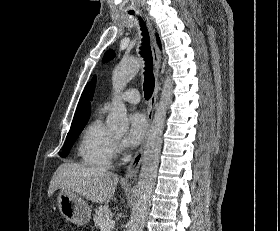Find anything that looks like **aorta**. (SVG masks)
Returning <instances> with one entry per match:
<instances>
[{"instance_id": "1", "label": "aorta", "mask_w": 280, "mask_h": 231, "mask_svg": "<svg viewBox=\"0 0 280 231\" xmlns=\"http://www.w3.org/2000/svg\"><path fill=\"white\" fill-rule=\"evenodd\" d=\"M141 66L142 60H127V62H120L113 70L112 88L114 92V104L109 116L106 117V123L115 133H126L129 129L126 106L119 100L118 96L123 92L126 84L138 74ZM172 94L173 82L170 76H167L163 84L160 102L147 137L135 201L128 223L129 231H143L145 217L152 201L160 161L163 129L167 108L171 104Z\"/></svg>"}]
</instances>
